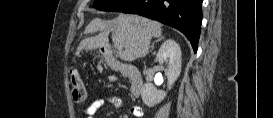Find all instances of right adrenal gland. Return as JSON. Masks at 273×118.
Returning <instances> with one entry per match:
<instances>
[{"mask_svg":"<svg viewBox=\"0 0 273 118\" xmlns=\"http://www.w3.org/2000/svg\"><path fill=\"white\" fill-rule=\"evenodd\" d=\"M163 39H164V37H163V36L158 37V39H157V40H155V41L152 43V45H151V49H153V48H154L155 43H157V42H159V41H161V40H163Z\"/></svg>","mask_w":273,"mask_h":118,"instance_id":"right-adrenal-gland-1","label":"right adrenal gland"}]
</instances>
